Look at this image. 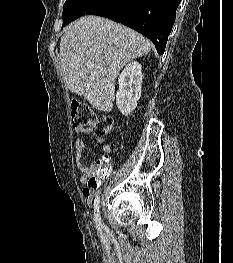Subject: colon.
<instances>
[{
  "instance_id": "1",
  "label": "colon",
  "mask_w": 233,
  "mask_h": 263,
  "mask_svg": "<svg viewBox=\"0 0 233 263\" xmlns=\"http://www.w3.org/2000/svg\"><path fill=\"white\" fill-rule=\"evenodd\" d=\"M73 125L76 128H91L96 134L104 135L115 130V125L110 117L99 116L82 103L74 102L71 108ZM110 169L109 159L102 158L96 161L95 173L89 178L87 186L89 189H100V180L108 179Z\"/></svg>"
}]
</instances>
